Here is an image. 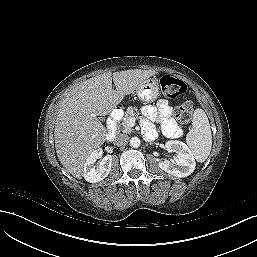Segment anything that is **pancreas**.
<instances>
[{"label":"pancreas","instance_id":"cf45deb5","mask_svg":"<svg viewBox=\"0 0 257 257\" xmlns=\"http://www.w3.org/2000/svg\"><path fill=\"white\" fill-rule=\"evenodd\" d=\"M138 109L136 107H128L126 112H125V117L123 118L122 121V132L123 133H131L133 131L132 127L129 125V120L132 118L134 115H138Z\"/></svg>","mask_w":257,"mask_h":257}]
</instances>
